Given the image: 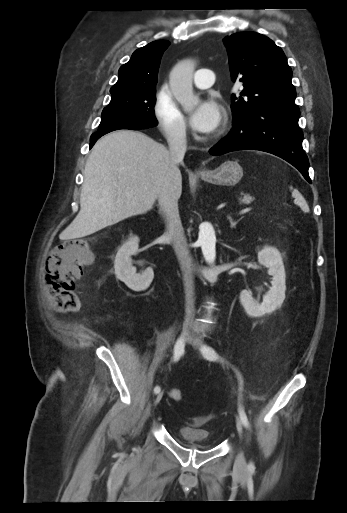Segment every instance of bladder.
Wrapping results in <instances>:
<instances>
[{
	"label": "bladder",
	"instance_id": "31cf9c89",
	"mask_svg": "<svg viewBox=\"0 0 347 513\" xmlns=\"http://www.w3.org/2000/svg\"><path fill=\"white\" fill-rule=\"evenodd\" d=\"M179 435L182 442L190 447L207 451L218 446V442L211 438L210 432L205 428L183 426L179 430Z\"/></svg>",
	"mask_w": 347,
	"mask_h": 513
}]
</instances>
